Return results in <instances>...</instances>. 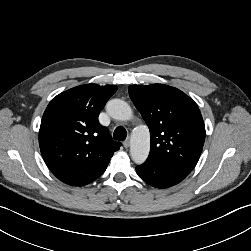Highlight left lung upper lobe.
I'll return each instance as SVG.
<instances>
[{
	"instance_id": "left-lung-upper-lobe-1",
	"label": "left lung upper lobe",
	"mask_w": 251,
	"mask_h": 251,
	"mask_svg": "<svg viewBox=\"0 0 251 251\" xmlns=\"http://www.w3.org/2000/svg\"><path fill=\"white\" fill-rule=\"evenodd\" d=\"M128 90L150 130L146 162L192 171L205 140L197 104L181 90L164 84L131 85Z\"/></svg>"
}]
</instances>
